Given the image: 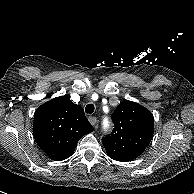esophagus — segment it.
I'll return each mask as SVG.
<instances>
[{
	"label": "esophagus",
	"mask_w": 194,
	"mask_h": 194,
	"mask_svg": "<svg viewBox=\"0 0 194 194\" xmlns=\"http://www.w3.org/2000/svg\"><path fill=\"white\" fill-rule=\"evenodd\" d=\"M89 119V122L93 125V126H95L96 124H97V118L96 117H94V116H91V117H89L88 118Z\"/></svg>",
	"instance_id": "1"
}]
</instances>
